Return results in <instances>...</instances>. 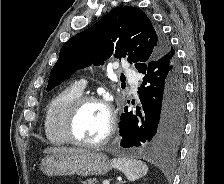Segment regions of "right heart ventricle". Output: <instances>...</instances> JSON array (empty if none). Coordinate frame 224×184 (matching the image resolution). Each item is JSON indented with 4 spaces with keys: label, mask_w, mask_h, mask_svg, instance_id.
<instances>
[{
    "label": "right heart ventricle",
    "mask_w": 224,
    "mask_h": 184,
    "mask_svg": "<svg viewBox=\"0 0 224 184\" xmlns=\"http://www.w3.org/2000/svg\"><path fill=\"white\" fill-rule=\"evenodd\" d=\"M82 91L76 86H69L60 91L49 103L45 115V135L54 145L68 143L64 132V123L71 104L81 96Z\"/></svg>",
    "instance_id": "e07e8e85"
}]
</instances>
